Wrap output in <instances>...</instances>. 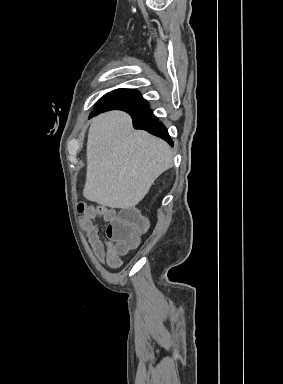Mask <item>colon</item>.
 <instances>
[{"mask_svg": "<svg viewBox=\"0 0 283 384\" xmlns=\"http://www.w3.org/2000/svg\"><path fill=\"white\" fill-rule=\"evenodd\" d=\"M82 212L83 205L79 207ZM146 227V221L137 208H127L121 211L108 225L107 235L116 243L119 252L135 245L138 235Z\"/></svg>", "mask_w": 283, "mask_h": 384, "instance_id": "colon-1", "label": "colon"}]
</instances>
